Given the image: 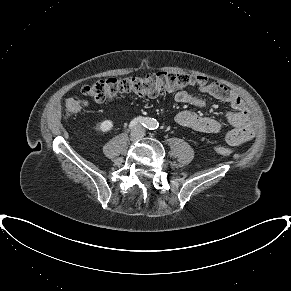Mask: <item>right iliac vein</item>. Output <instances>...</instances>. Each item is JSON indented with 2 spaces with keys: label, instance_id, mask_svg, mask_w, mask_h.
<instances>
[{
  "label": "right iliac vein",
  "instance_id": "obj_1",
  "mask_svg": "<svg viewBox=\"0 0 291 291\" xmlns=\"http://www.w3.org/2000/svg\"><path fill=\"white\" fill-rule=\"evenodd\" d=\"M136 138H137L136 134L133 133V134L131 135V141H135Z\"/></svg>",
  "mask_w": 291,
  "mask_h": 291
}]
</instances>
